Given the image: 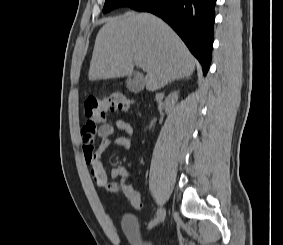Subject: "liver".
<instances>
[{
	"mask_svg": "<svg viewBox=\"0 0 283 245\" xmlns=\"http://www.w3.org/2000/svg\"><path fill=\"white\" fill-rule=\"evenodd\" d=\"M139 62L147 66L148 91L192 75L196 66L179 36L154 15L127 12L108 18L95 40L89 80L129 76Z\"/></svg>",
	"mask_w": 283,
	"mask_h": 245,
	"instance_id": "1",
	"label": "liver"
}]
</instances>
